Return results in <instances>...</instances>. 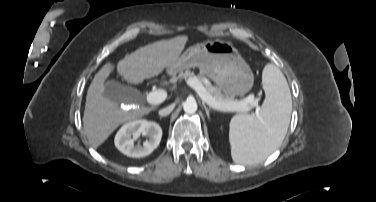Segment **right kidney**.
I'll return each instance as SVG.
<instances>
[{
    "instance_id": "ca27d5eb",
    "label": "right kidney",
    "mask_w": 376,
    "mask_h": 202,
    "mask_svg": "<svg viewBox=\"0 0 376 202\" xmlns=\"http://www.w3.org/2000/svg\"><path fill=\"white\" fill-rule=\"evenodd\" d=\"M148 137L141 145H134V140L140 135ZM162 129L156 122L138 119L124 124L115 136V146L123 154L140 158L145 157L156 149L161 141Z\"/></svg>"
}]
</instances>
